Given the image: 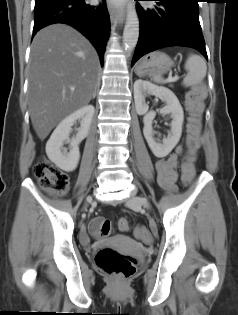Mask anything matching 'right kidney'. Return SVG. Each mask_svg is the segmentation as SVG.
<instances>
[{"mask_svg": "<svg viewBox=\"0 0 238 315\" xmlns=\"http://www.w3.org/2000/svg\"><path fill=\"white\" fill-rule=\"evenodd\" d=\"M93 105H86L64 118L52 133L46 143L48 158L60 169L72 172L77 168L80 159L79 144L88 136L92 118L94 115ZM80 121V128L73 139L69 138L72 126ZM64 143L70 145V151L63 147Z\"/></svg>", "mask_w": 238, "mask_h": 315, "instance_id": "obj_1", "label": "right kidney"}]
</instances>
